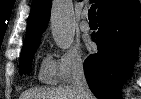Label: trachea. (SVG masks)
<instances>
[{"instance_id": "3493384b", "label": "trachea", "mask_w": 141, "mask_h": 99, "mask_svg": "<svg viewBox=\"0 0 141 99\" xmlns=\"http://www.w3.org/2000/svg\"><path fill=\"white\" fill-rule=\"evenodd\" d=\"M96 8H97V5L96 4H93L90 7L89 12H88L89 20H97V17H96Z\"/></svg>"}]
</instances>
